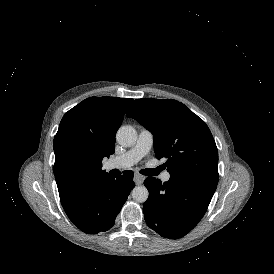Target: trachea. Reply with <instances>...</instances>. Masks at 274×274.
Wrapping results in <instances>:
<instances>
[{
    "label": "trachea",
    "mask_w": 274,
    "mask_h": 274,
    "mask_svg": "<svg viewBox=\"0 0 274 274\" xmlns=\"http://www.w3.org/2000/svg\"><path fill=\"white\" fill-rule=\"evenodd\" d=\"M161 170V167H157L156 169H142L140 173L146 176H157Z\"/></svg>",
    "instance_id": "1"
}]
</instances>
